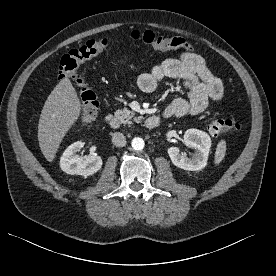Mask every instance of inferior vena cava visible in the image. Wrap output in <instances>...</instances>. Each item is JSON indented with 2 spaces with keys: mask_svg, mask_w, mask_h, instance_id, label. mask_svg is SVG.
<instances>
[{
  "mask_svg": "<svg viewBox=\"0 0 276 276\" xmlns=\"http://www.w3.org/2000/svg\"><path fill=\"white\" fill-rule=\"evenodd\" d=\"M112 143L116 147H124L126 145V138L123 133L115 132L112 135Z\"/></svg>",
  "mask_w": 276,
  "mask_h": 276,
  "instance_id": "1",
  "label": "inferior vena cava"
}]
</instances>
